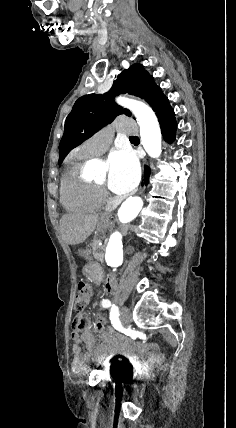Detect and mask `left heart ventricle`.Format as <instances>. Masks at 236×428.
Listing matches in <instances>:
<instances>
[{"label":"left heart ventricle","mask_w":236,"mask_h":428,"mask_svg":"<svg viewBox=\"0 0 236 428\" xmlns=\"http://www.w3.org/2000/svg\"><path fill=\"white\" fill-rule=\"evenodd\" d=\"M108 180H109V175H108V173H107V169H106V171H105V172H103L102 174H100V175L96 178V181H97L98 183L105 184V185H108Z\"/></svg>","instance_id":"left-heart-ventricle-1"}]
</instances>
